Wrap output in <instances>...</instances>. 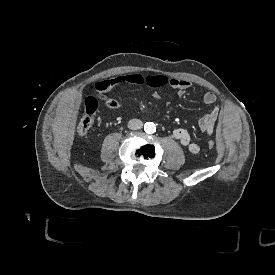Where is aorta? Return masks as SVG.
Returning a JSON list of instances; mask_svg holds the SVG:
<instances>
[{"label":"aorta","mask_w":275,"mask_h":275,"mask_svg":"<svg viewBox=\"0 0 275 275\" xmlns=\"http://www.w3.org/2000/svg\"><path fill=\"white\" fill-rule=\"evenodd\" d=\"M144 130L148 134H152L156 131V126L153 122H147L145 124Z\"/></svg>","instance_id":"obj_1"}]
</instances>
